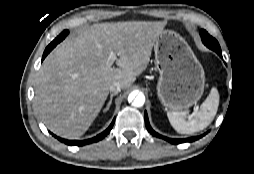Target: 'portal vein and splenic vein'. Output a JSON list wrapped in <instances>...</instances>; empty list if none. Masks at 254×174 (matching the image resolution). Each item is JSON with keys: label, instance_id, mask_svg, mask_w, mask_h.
Here are the masks:
<instances>
[{"label": "portal vein and splenic vein", "instance_id": "18ae733b", "mask_svg": "<svg viewBox=\"0 0 254 174\" xmlns=\"http://www.w3.org/2000/svg\"><path fill=\"white\" fill-rule=\"evenodd\" d=\"M116 59H117L116 54L113 53V52H111V53L109 54V57H108V60H107V64H108L109 66H112V64L114 63V61H115Z\"/></svg>", "mask_w": 254, "mask_h": 174}]
</instances>
